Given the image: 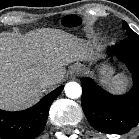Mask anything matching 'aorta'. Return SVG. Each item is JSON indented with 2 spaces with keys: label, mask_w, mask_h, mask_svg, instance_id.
Segmentation results:
<instances>
[{
  "label": "aorta",
  "mask_w": 139,
  "mask_h": 139,
  "mask_svg": "<svg viewBox=\"0 0 139 139\" xmlns=\"http://www.w3.org/2000/svg\"><path fill=\"white\" fill-rule=\"evenodd\" d=\"M65 94L68 98L77 99L82 95V88L77 82H69L64 88Z\"/></svg>",
  "instance_id": "1"
}]
</instances>
